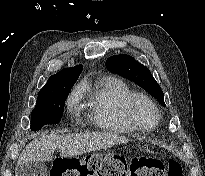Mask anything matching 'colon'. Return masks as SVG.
Wrapping results in <instances>:
<instances>
[{"mask_svg": "<svg viewBox=\"0 0 205 176\" xmlns=\"http://www.w3.org/2000/svg\"><path fill=\"white\" fill-rule=\"evenodd\" d=\"M50 176H183L181 164L174 159L163 162L139 156L126 160L103 153L87 154L83 158L58 156L54 159Z\"/></svg>", "mask_w": 205, "mask_h": 176, "instance_id": "obj_1", "label": "colon"}]
</instances>
